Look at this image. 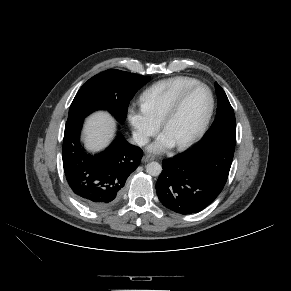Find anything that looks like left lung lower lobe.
<instances>
[{"mask_svg": "<svg viewBox=\"0 0 291 291\" xmlns=\"http://www.w3.org/2000/svg\"><path fill=\"white\" fill-rule=\"evenodd\" d=\"M236 136L219 135L196 148L165 159L156 191L161 203L183 215L210 205L222 191L230 171Z\"/></svg>", "mask_w": 291, "mask_h": 291, "instance_id": "1", "label": "left lung lower lobe"}]
</instances>
